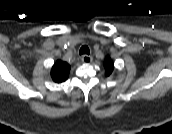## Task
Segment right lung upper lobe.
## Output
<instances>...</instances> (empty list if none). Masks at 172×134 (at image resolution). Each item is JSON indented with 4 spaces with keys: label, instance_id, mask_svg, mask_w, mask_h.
<instances>
[{
    "label": "right lung upper lobe",
    "instance_id": "right-lung-upper-lobe-1",
    "mask_svg": "<svg viewBox=\"0 0 172 134\" xmlns=\"http://www.w3.org/2000/svg\"><path fill=\"white\" fill-rule=\"evenodd\" d=\"M70 72V65L61 60H57L51 69V77L54 82L61 83L67 80Z\"/></svg>",
    "mask_w": 172,
    "mask_h": 134
}]
</instances>
